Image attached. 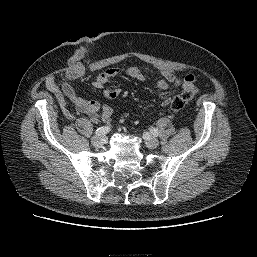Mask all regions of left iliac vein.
Returning a JSON list of instances; mask_svg holds the SVG:
<instances>
[{
  "label": "left iliac vein",
  "mask_w": 257,
  "mask_h": 257,
  "mask_svg": "<svg viewBox=\"0 0 257 257\" xmlns=\"http://www.w3.org/2000/svg\"><path fill=\"white\" fill-rule=\"evenodd\" d=\"M144 139L150 149H155L159 144L158 140L149 133L144 134Z\"/></svg>",
  "instance_id": "obj_1"
}]
</instances>
